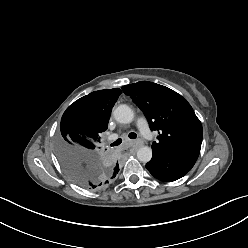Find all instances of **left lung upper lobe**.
Instances as JSON below:
<instances>
[{
  "label": "left lung upper lobe",
  "instance_id": "5c2ea615",
  "mask_svg": "<svg viewBox=\"0 0 248 248\" xmlns=\"http://www.w3.org/2000/svg\"><path fill=\"white\" fill-rule=\"evenodd\" d=\"M158 131L152 150L160 154L200 152L202 125L190 104L177 92L148 81L121 87Z\"/></svg>",
  "mask_w": 248,
  "mask_h": 248
}]
</instances>
